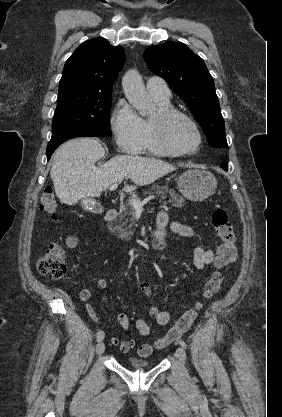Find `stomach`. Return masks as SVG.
<instances>
[{"label":"stomach","instance_id":"0dacf381","mask_svg":"<svg viewBox=\"0 0 282 417\" xmlns=\"http://www.w3.org/2000/svg\"><path fill=\"white\" fill-rule=\"evenodd\" d=\"M217 180L205 168H189L178 178V188L185 198L189 200H204L213 194Z\"/></svg>","mask_w":282,"mask_h":417}]
</instances>
